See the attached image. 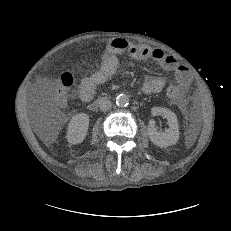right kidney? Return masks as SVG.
I'll list each match as a JSON object with an SVG mask.
<instances>
[{
    "label": "right kidney",
    "mask_w": 231,
    "mask_h": 231,
    "mask_svg": "<svg viewBox=\"0 0 231 231\" xmlns=\"http://www.w3.org/2000/svg\"><path fill=\"white\" fill-rule=\"evenodd\" d=\"M89 127V116L86 113L75 114L67 127V140L71 144L83 142L87 136Z\"/></svg>",
    "instance_id": "1"
}]
</instances>
